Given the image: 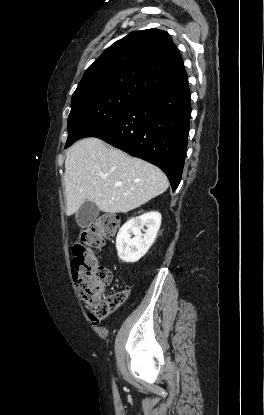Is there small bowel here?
<instances>
[{
	"mask_svg": "<svg viewBox=\"0 0 264 415\" xmlns=\"http://www.w3.org/2000/svg\"><path fill=\"white\" fill-rule=\"evenodd\" d=\"M72 277H73V280H75V281H77V280H78V274H73V273H72Z\"/></svg>",
	"mask_w": 264,
	"mask_h": 415,
	"instance_id": "obj_1",
	"label": "small bowel"
}]
</instances>
